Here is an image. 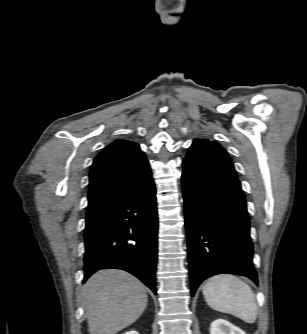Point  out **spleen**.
<instances>
[{
  "instance_id": "obj_1",
  "label": "spleen",
  "mask_w": 307,
  "mask_h": 334,
  "mask_svg": "<svg viewBox=\"0 0 307 334\" xmlns=\"http://www.w3.org/2000/svg\"><path fill=\"white\" fill-rule=\"evenodd\" d=\"M206 303L214 310L231 314L246 323L257 318V303L251 287L236 276L221 274L208 279L203 286Z\"/></svg>"
}]
</instances>
